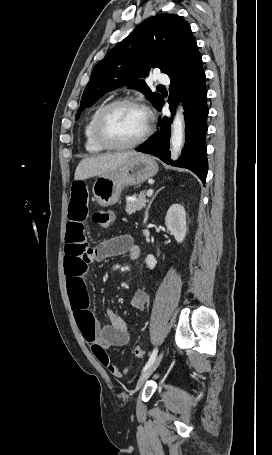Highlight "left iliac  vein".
Returning a JSON list of instances; mask_svg holds the SVG:
<instances>
[{"instance_id": "1", "label": "left iliac vein", "mask_w": 272, "mask_h": 455, "mask_svg": "<svg viewBox=\"0 0 272 455\" xmlns=\"http://www.w3.org/2000/svg\"><path fill=\"white\" fill-rule=\"evenodd\" d=\"M164 355V350L161 351V353L155 358L154 362L142 373L140 378L137 381L136 385V391H138L145 381L150 377V375L156 370V368L159 366L162 358Z\"/></svg>"}]
</instances>
